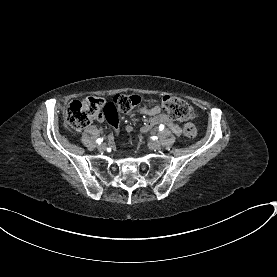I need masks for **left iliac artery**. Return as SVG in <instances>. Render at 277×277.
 Wrapping results in <instances>:
<instances>
[{
	"mask_svg": "<svg viewBox=\"0 0 277 277\" xmlns=\"http://www.w3.org/2000/svg\"><path fill=\"white\" fill-rule=\"evenodd\" d=\"M163 130H164V125L161 124V125L159 126V131H163Z\"/></svg>",
	"mask_w": 277,
	"mask_h": 277,
	"instance_id": "obj_1",
	"label": "left iliac artery"
}]
</instances>
